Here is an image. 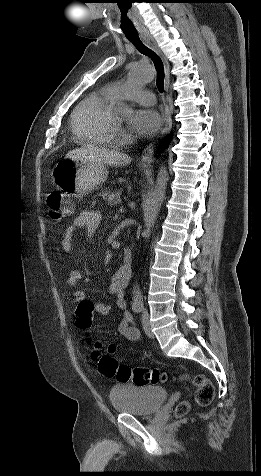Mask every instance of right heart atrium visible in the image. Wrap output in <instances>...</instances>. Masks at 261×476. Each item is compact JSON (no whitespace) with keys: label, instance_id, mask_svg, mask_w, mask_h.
I'll return each mask as SVG.
<instances>
[{"label":"right heart atrium","instance_id":"right-heart-atrium-1","mask_svg":"<svg viewBox=\"0 0 261 476\" xmlns=\"http://www.w3.org/2000/svg\"><path fill=\"white\" fill-rule=\"evenodd\" d=\"M115 135L119 138H125L127 136V133L123 128L118 126L116 128Z\"/></svg>","mask_w":261,"mask_h":476}]
</instances>
